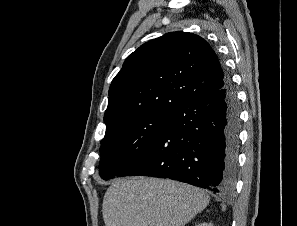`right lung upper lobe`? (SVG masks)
Masks as SVG:
<instances>
[{"mask_svg": "<svg viewBox=\"0 0 297 226\" xmlns=\"http://www.w3.org/2000/svg\"><path fill=\"white\" fill-rule=\"evenodd\" d=\"M227 74L200 36L172 32L153 39L125 60L109 89L106 127L152 111H174L183 102L221 89Z\"/></svg>", "mask_w": 297, "mask_h": 226, "instance_id": "cb5924a9", "label": "right lung upper lobe"}]
</instances>
